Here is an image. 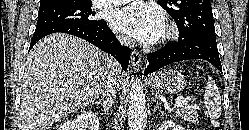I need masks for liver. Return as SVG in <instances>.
Instances as JSON below:
<instances>
[{"label": "liver", "instance_id": "liver-1", "mask_svg": "<svg viewBox=\"0 0 249 130\" xmlns=\"http://www.w3.org/2000/svg\"><path fill=\"white\" fill-rule=\"evenodd\" d=\"M112 58L89 42L51 34L30 51L21 86V130H48L96 101L112 73ZM118 86L125 73L117 74Z\"/></svg>", "mask_w": 249, "mask_h": 130}]
</instances>
